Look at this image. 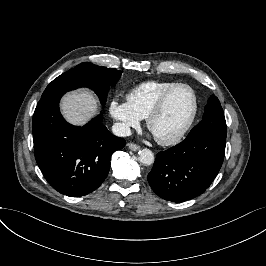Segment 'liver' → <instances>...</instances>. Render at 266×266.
I'll return each instance as SVG.
<instances>
[{
  "instance_id": "obj_1",
  "label": "liver",
  "mask_w": 266,
  "mask_h": 266,
  "mask_svg": "<svg viewBox=\"0 0 266 266\" xmlns=\"http://www.w3.org/2000/svg\"><path fill=\"white\" fill-rule=\"evenodd\" d=\"M63 112L74 124L85 123L96 110V102L89 91H78L68 95L63 101Z\"/></svg>"
}]
</instances>
